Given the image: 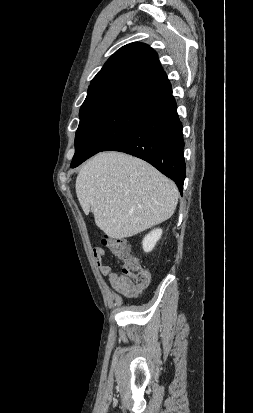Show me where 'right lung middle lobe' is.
I'll return each instance as SVG.
<instances>
[{"label": "right lung middle lobe", "instance_id": "1", "mask_svg": "<svg viewBox=\"0 0 253 413\" xmlns=\"http://www.w3.org/2000/svg\"><path fill=\"white\" fill-rule=\"evenodd\" d=\"M147 117L131 112L114 111L80 120L71 167H77L89 157L120 140L141 125Z\"/></svg>", "mask_w": 253, "mask_h": 413}]
</instances>
